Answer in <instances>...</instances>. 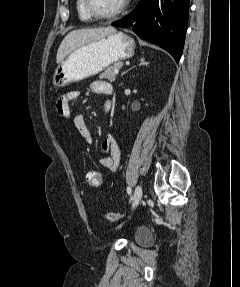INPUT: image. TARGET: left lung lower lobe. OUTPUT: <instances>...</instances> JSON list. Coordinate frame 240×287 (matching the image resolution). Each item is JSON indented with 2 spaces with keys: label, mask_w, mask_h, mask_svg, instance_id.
<instances>
[{
  "label": "left lung lower lobe",
  "mask_w": 240,
  "mask_h": 287,
  "mask_svg": "<svg viewBox=\"0 0 240 287\" xmlns=\"http://www.w3.org/2000/svg\"><path fill=\"white\" fill-rule=\"evenodd\" d=\"M190 0H140L124 18L112 23L131 27L142 39L168 51L176 60L182 55Z\"/></svg>",
  "instance_id": "0a47b994"
}]
</instances>
